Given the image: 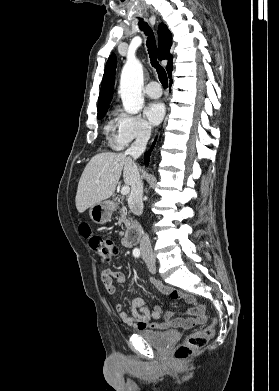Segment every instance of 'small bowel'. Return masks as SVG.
Here are the masks:
<instances>
[{
  "label": "small bowel",
  "instance_id": "obj_1",
  "mask_svg": "<svg viewBox=\"0 0 279 391\" xmlns=\"http://www.w3.org/2000/svg\"><path fill=\"white\" fill-rule=\"evenodd\" d=\"M117 237L121 238V241L127 247H130L126 237L122 232L117 234ZM100 277L103 282L104 288L109 295H114L116 292V284H122L125 282V275L122 272H113L110 269H102L100 271ZM154 286L171 296L176 300H182L192 306L190 313L193 317L188 318H175V313L169 311L165 314V320L163 322H152V319H159L162 315V309L155 307L153 310H149L146 306V301L143 298L137 297L132 301L131 314L123 311L122 304L115 303V310L118 313L121 321L139 330L157 329L164 330L170 327H182L189 329L197 325H203L207 321V315L205 307L197 303L196 299L189 294H186L177 289L167 288L158 281H152Z\"/></svg>",
  "mask_w": 279,
  "mask_h": 391
}]
</instances>
